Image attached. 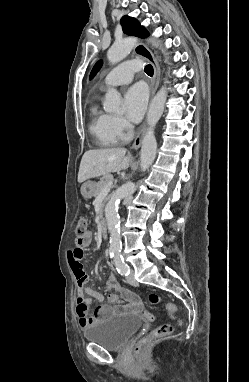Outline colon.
Masks as SVG:
<instances>
[{
	"mask_svg": "<svg viewBox=\"0 0 249 382\" xmlns=\"http://www.w3.org/2000/svg\"><path fill=\"white\" fill-rule=\"evenodd\" d=\"M87 232H88V221L86 218L81 217L78 221L77 230H76L78 241H83ZM73 252H75V250ZM83 255H84V252H83ZM77 273H78V276H81V277H84L87 275V272L84 269V267L79 268ZM149 299H150L151 303H158L160 301V297L155 293L150 294ZM166 309H167L168 314L173 316L177 310V307H176V305L169 303V304H167ZM147 317L150 319L151 315L147 314ZM171 332H172V327L169 324H163V325L155 328L147 336H145L144 338H142L139 341V343L137 345V350L141 351L143 348L150 345L153 340L167 336V335L171 334Z\"/></svg>",
	"mask_w": 249,
	"mask_h": 382,
	"instance_id": "obj_1",
	"label": "colon"
}]
</instances>
